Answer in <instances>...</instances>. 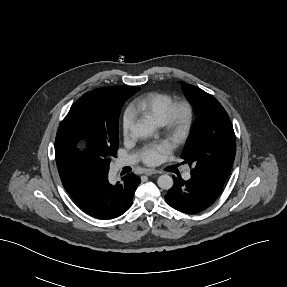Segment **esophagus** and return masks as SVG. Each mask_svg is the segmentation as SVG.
Masks as SVG:
<instances>
[{"mask_svg": "<svg viewBox=\"0 0 287 287\" xmlns=\"http://www.w3.org/2000/svg\"><path fill=\"white\" fill-rule=\"evenodd\" d=\"M146 175L161 174L162 172L154 169H147L144 171Z\"/></svg>", "mask_w": 287, "mask_h": 287, "instance_id": "1", "label": "esophagus"}]
</instances>
